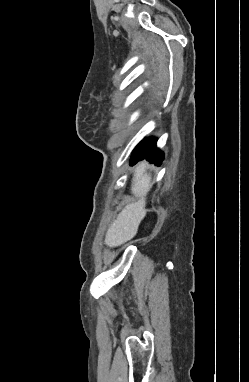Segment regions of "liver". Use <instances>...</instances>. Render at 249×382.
<instances>
[{
    "instance_id": "6515ba94",
    "label": "liver",
    "mask_w": 249,
    "mask_h": 382,
    "mask_svg": "<svg viewBox=\"0 0 249 382\" xmlns=\"http://www.w3.org/2000/svg\"><path fill=\"white\" fill-rule=\"evenodd\" d=\"M147 163H140L134 170L131 192L137 201L129 203L109 226L105 244L109 247L120 246L131 240L146 216V195L152 187L151 175L146 171Z\"/></svg>"
}]
</instances>
